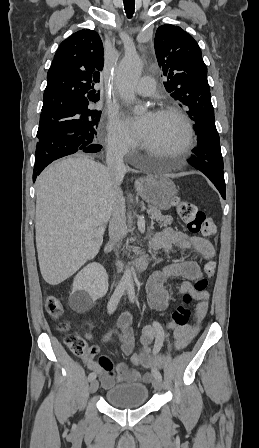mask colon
<instances>
[{
	"label": "colon",
	"mask_w": 259,
	"mask_h": 448,
	"mask_svg": "<svg viewBox=\"0 0 259 448\" xmlns=\"http://www.w3.org/2000/svg\"><path fill=\"white\" fill-rule=\"evenodd\" d=\"M174 207L180 217V219L186 224L188 229L192 233L200 234L206 237L215 236L217 233V226L214 221L207 217L204 212L199 210L192 202L176 198L174 200ZM204 277L198 279L195 282V289L203 291L207 288L209 280L215 274V263L210 260L205 263ZM192 296L185 293L182 297L181 304L171 314V321L168 324L170 328H181L189 323L191 312L188 308ZM45 309L47 313L55 320L59 321V330L66 332L68 325L62 321V317L65 311L63 302L56 296H48L45 302ZM66 344L68 348L77 356H85L89 352L86 341L75 334H69L66 338ZM133 364L138 365L141 362V356L138 353H134L131 356Z\"/></svg>",
	"instance_id": "obj_1"
}]
</instances>
